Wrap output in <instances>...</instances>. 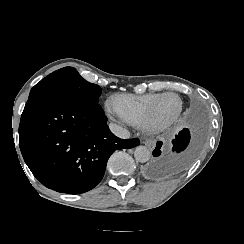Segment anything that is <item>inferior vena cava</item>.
<instances>
[{
    "label": "inferior vena cava",
    "mask_w": 244,
    "mask_h": 244,
    "mask_svg": "<svg viewBox=\"0 0 244 244\" xmlns=\"http://www.w3.org/2000/svg\"><path fill=\"white\" fill-rule=\"evenodd\" d=\"M109 128L111 132L119 138L128 139L130 137V132L116 124H110Z\"/></svg>",
    "instance_id": "1"
}]
</instances>
